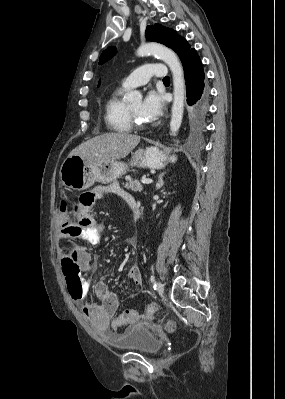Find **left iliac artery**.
Instances as JSON below:
<instances>
[{
    "mask_svg": "<svg viewBox=\"0 0 285 399\" xmlns=\"http://www.w3.org/2000/svg\"><path fill=\"white\" fill-rule=\"evenodd\" d=\"M150 280H151L152 283H156L155 276L152 275L151 278H150Z\"/></svg>",
    "mask_w": 285,
    "mask_h": 399,
    "instance_id": "obj_1",
    "label": "left iliac artery"
}]
</instances>
